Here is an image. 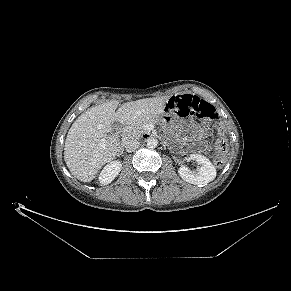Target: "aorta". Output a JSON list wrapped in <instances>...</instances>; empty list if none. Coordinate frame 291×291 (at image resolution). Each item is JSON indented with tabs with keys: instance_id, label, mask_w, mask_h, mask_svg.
<instances>
[{
	"instance_id": "762f6f07",
	"label": "aorta",
	"mask_w": 291,
	"mask_h": 291,
	"mask_svg": "<svg viewBox=\"0 0 291 291\" xmlns=\"http://www.w3.org/2000/svg\"><path fill=\"white\" fill-rule=\"evenodd\" d=\"M158 144V140L156 138H148L147 139V146L148 148H155Z\"/></svg>"
}]
</instances>
